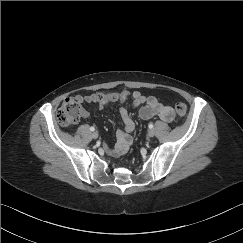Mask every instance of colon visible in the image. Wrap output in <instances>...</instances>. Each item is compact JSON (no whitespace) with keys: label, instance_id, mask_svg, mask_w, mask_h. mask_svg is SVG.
<instances>
[{"label":"colon","instance_id":"colon-1","mask_svg":"<svg viewBox=\"0 0 243 243\" xmlns=\"http://www.w3.org/2000/svg\"><path fill=\"white\" fill-rule=\"evenodd\" d=\"M112 99L118 97V93L109 94ZM81 99L68 97L61 104L60 108L57 111L56 119L58 123L62 126H69L77 123L82 115L81 110ZM175 111L178 115L183 116L187 112L186 104L178 102L175 105ZM130 151H126L125 154H129Z\"/></svg>","mask_w":243,"mask_h":243}]
</instances>
